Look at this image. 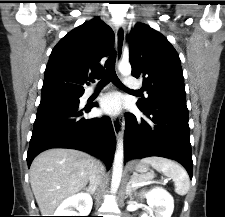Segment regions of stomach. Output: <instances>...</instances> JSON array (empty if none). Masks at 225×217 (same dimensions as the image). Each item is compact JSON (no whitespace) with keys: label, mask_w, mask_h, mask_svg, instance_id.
Listing matches in <instances>:
<instances>
[{"label":"stomach","mask_w":225,"mask_h":217,"mask_svg":"<svg viewBox=\"0 0 225 217\" xmlns=\"http://www.w3.org/2000/svg\"><path fill=\"white\" fill-rule=\"evenodd\" d=\"M133 170L143 175L144 173L148 171V166L143 162H134Z\"/></svg>","instance_id":"0dacf381"}]
</instances>
